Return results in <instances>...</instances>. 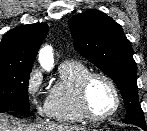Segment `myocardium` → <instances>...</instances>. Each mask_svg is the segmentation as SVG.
Here are the masks:
<instances>
[{
  "instance_id": "obj_1",
  "label": "myocardium",
  "mask_w": 147,
  "mask_h": 131,
  "mask_svg": "<svg viewBox=\"0 0 147 131\" xmlns=\"http://www.w3.org/2000/svg\"><path fill=\"white\" fill-rule=\"evenodd\" d=\"M96 78H101L105 80L110 85L115 96L114 107L112 108L111 111H109L108 113L104 115L93 114L89 107L88 90H89V86L91 82ZM78 103H79L80 111L86 120H89L92 122H102L111 118L119 110L121 106V94H120L118 86L116 85V83L110 76L102 72H90L81 80L79 84Z\"/></svg>"
}]
</instances>
